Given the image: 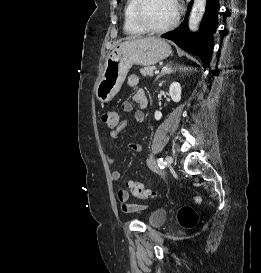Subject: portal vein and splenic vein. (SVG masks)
Wrapping results in <instances>:
<instances>
[{
  "label": "portal vein and splenic vein",
  "instance_id": "portal-vein-and-splenic-vein-1",
  "mask_svg": "<svg viewBox=\"0 0 261 273\" xmlns=\"http://www.w3.org/2000/svg\"><path fill=\"white\" fill-rule=\"evenodd\" d=\"M155 73H159V70H156Z\"/></svg>",
  "mask_w": 261,
  "mask_h": 273
}]
</instances>
